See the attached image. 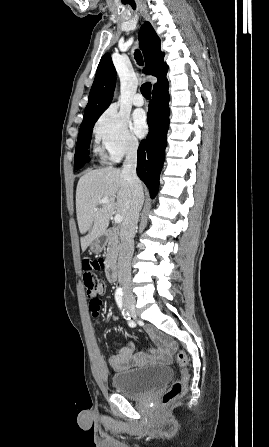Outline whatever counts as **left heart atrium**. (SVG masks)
Returning a JSON list of instances; mask_svg holds the SVG:
<instances>
[{
    "instance_id": "1",
    "label": "left heart atrium",
    "mask_w": 269,
    "mask_h": 447,
    "mask_svg": "<svg viewBox=\"0 0 269 447\" xmlns=\"http://www.w3.org/2000/svg\"><path fill=\"white\" fill-rule=\"evenodd\" d=\"M133 131L139 136L144 137L149 131V121L144 110H136L132 117Z\"/></svg>"
}]
</instances>
